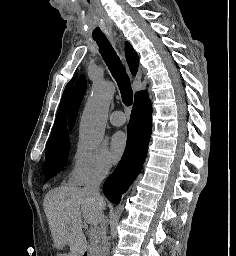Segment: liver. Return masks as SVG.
<instances>
[{
    "mask_svg": "<svg viewBox=\"0 0 236 256\" xmlns=\"http://www.w3.org/2000/svg\"><path fill=\"white\" fill-rule=\"evenodd\" d=\"M43 206L55 246L60 250L57 256H83L87 248L83 222L102 224L104 200L102 208H98L97 200L81 188L61 186L46 194ZM64 246H69L68 254H62Z\"/></svg>",
    "mask_w": 236,
    "mask_h": 256,
    "instance_id": "1",
    "label": "liver"
}]
</instances>
